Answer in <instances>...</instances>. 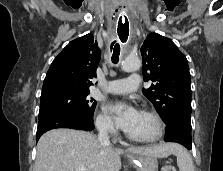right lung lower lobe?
I'll list each match as a JSON object with an SVG mask.
<instances>
[{
	"instance_id": "1",
	"label": "right lung lower lobe",
	"mask_w": 223,
	"mask_h": 171,
	"mask_svg": "<svg viewBox=\"0 0 223 171\" xmlns=\"http://www.w3.org/2000/svg\"><path fill=\"white\" fill-rule=\"evenodd\" d=\"M56 128H71L91 131L94 129L93 120L73 112H57L39 119L36 142L46 131Z\"/></svg>"
}]
</instances>
